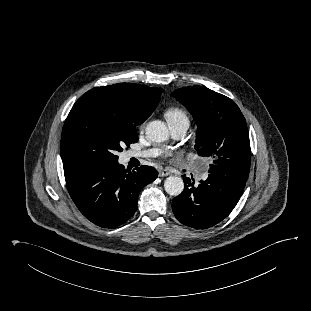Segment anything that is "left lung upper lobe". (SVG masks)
<instances>
[{
	"instance_id": "5c2ea615",
	"label": "left lung upper lobe",
	"mask_w": 311,
	"mask_h": 311,
	"mask_svg": "<svg viewBox=\"0 0 311 311\" xmlns=\"http://www.w3.org/2000/svg\"><path fill=\"white\" fill-rule=\"evenodd\" d=\"M197 121L195 149L212 159L209 173L247 181L251 149L245 118L230 98L201 86L175 90L172 94Z\"/></svg>"
}]
</instances>
